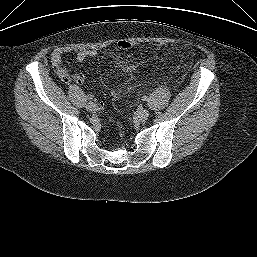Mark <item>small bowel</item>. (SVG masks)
Returning <instances> with one entry per match:
<instances>
[{
    "label": "small bowel",
    "mask_w": 257,
    "mask_h": 257,
    "mask_svg": "<svg viewBox=\"0 0 257 257\" xmlns=\"http://www.w3.org/2000/svg\"><path fill=\"white\" fill-rule=\"evenodd\" d=\"M70 50L68 48H55L51 54V64L55 70V72L61 77H67L66 70L61 66L62 58L65 54L69 53ZM75 59L79 62L86 61L88 59L94 58L97 56L96 50L93 49H85L79 50L75 53ZM115 64L119 70L129 75H133V73L137 69V65L131 61L129 58L118 57L115 61ZM71 79L76 84H83L84 79L80 74H73Z\"/></svg>",
    "instance_id": "1"
}]
</instances>
